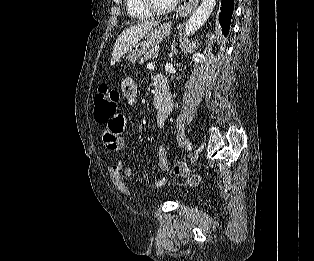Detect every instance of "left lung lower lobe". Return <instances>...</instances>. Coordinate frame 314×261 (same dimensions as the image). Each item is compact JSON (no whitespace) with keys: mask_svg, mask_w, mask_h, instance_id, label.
<instances>
[{"mask_svg":"<svg viewBox=\"0 0 314 261\" xmlns=\"http://www.w3.org/2000/svg\"><path fill=\"white\" fill-rule=\"evenodd\" d=\"M221 12H220V23L222 32L226 36L229 33L230 23L234 10V0H222L221 1Z\"/></svg>","mask_w":314,"mask_h":261,"instance_id":"obj_1","label":"left lung lower lobe"}]
</instances>
